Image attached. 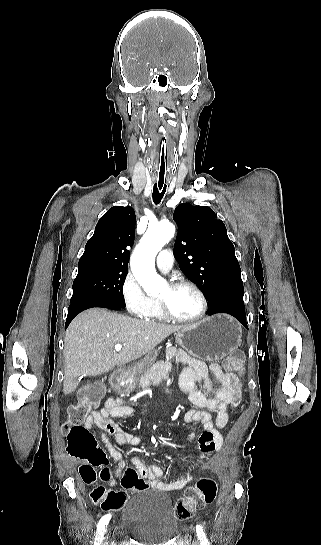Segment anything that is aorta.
<instances>
[{
  "instance_id": "obj_1",
  "label": "aorta",
  "mask_w": 321,
  "mask_h": 545,
  "mask_svg": "<svg viewBox=\"0 0 321 545\" xmlns=\"http://www.w3.org/2000/svg\"><path fill=\"white\" fill-rule=\"evenodd\" d=\"M174 233L175 226L170 222L150 225L133 252L131 270L146 293L158 294L166 284L155 270V258Z\"/></svg>"
}]
</instances>
